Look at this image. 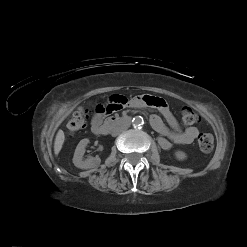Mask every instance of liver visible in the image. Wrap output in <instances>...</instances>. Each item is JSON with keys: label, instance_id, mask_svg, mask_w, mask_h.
Returning a JSON list of instances; mask_svg holds the SVG:
<instances>
[{"label": "liver", "instance_id": "6515ba94", "mask_svg": "<svg viewBox=\"0 0 247 247\" xmlns=\"http://www.w3.org/2000/svg\"><path fill=\"white\" fill-rule=\"evenodd\" d=\"M65 140V135L62 130H59L56 134L55 141H54V153L58 155L62 149L63 143Z\"/></svg>", "mask_w": 247, "mask_h": 247}]
</instances>
